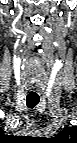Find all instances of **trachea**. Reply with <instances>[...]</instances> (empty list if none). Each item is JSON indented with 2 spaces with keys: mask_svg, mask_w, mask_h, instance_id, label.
Returning a JSON list of instances; mask_svg holds the SVG:
<instances>
[{
  "mask_svg": "<svg viewBox=\"0 0 77 143\" xmlns=\"http://www.w3.org/2000/svg\"><path fill=\"white\" fill-rule=\"evenodd\" d=\"M40 101V97L38 95L28 94L26 97V104L29 108H34Z\"/></svg>",
  "mask_w": 77,
  "mask_h": 143,
  "instance_id": "3493384b",
  "label": "trachea"
}]
</instances>
